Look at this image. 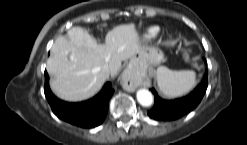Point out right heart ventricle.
<instances>
[{"label":"right heart ventricle","instance_id":"obj_1","mask_svg":"<svg viewBox=\"0 0 247 145\" xmlns=\"http://www.w3.org/2000/svg\"><path fill=\"white\" fill-rule=\"evenodd\" d=\"M159 33L160 28L158 26H151L144 31L142 38L144 41H151L155 39L159 35Z\"/></svg>","mask_w":247,"mask_h":145}]
</instances>
